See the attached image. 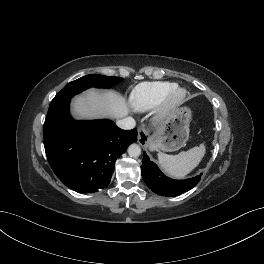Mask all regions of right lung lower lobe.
<instances>
[{
  "label": "right lung lower lobe",
  "instance_id": "1",
  "mask_svg": "<svg viewBox=\"0 0 264 264\" xmlns=\"http://www.w3.org/2000/svg\"><path fill=\"white\" fill-rule=\"evenodd\" d=\"M69 102L46 116V155L66 186L94 193L109 185L116 159L137 141V130H122L110 120L75 121L69 114Z\"/></svg>",
  "mask_w": 264,
  "mask_h": 264
}]
</instances>
